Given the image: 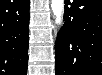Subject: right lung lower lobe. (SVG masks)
I'll return each instance as SVG.
<instances>
[{
    "instance_id": "98d812e1",
    "label": "right lung lower lobe",
    "mask_w": 102,
    "mask_h": 75,
    "mask_svg": "<svg viewBox=\"0 0 102 75\" xmlns=\"http://www.w3.org/2000/svg\"><path fill=\"white\" fill-rule=\"evenodd\" d=\"M30 0L0 1L1 75H26Z\"/></svg>"
}]
</instances>
